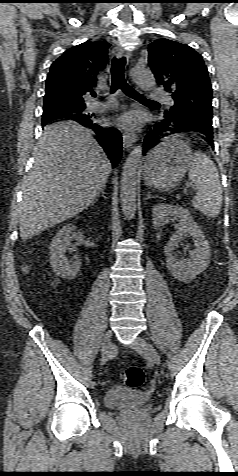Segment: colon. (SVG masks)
<instances>
[{"mask_svg":"<svg viewBox=\"0 0 238 476\" xmlns=\"http://www.w3.org/2000/svg\"><path fill=\"white\" fill-rule=\"evenodd\" d=\"M122 382L132 388L140 387L145 381V374L138 366H129L121 372Z\"/></svg>","mask_w":238,"mask_h":476,"instance_id":"1","label":"colon"}]
</instances>
